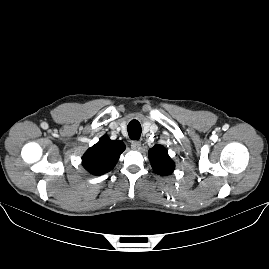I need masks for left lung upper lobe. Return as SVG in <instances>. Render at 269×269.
<instances>
[{"instance_id":"left-lung-upper-lobe-1","label":"left lung upper lobe","mask_w":269,"mask_h":269,"mask_svg":"<svg viewBox=\"0 0 269 269\" xmlns=\"http://www.w3.org/2000/svg\"><path fill=\"white\" fill-rule=\"evenodd\" d=\"M149 159L155 173L169 175L173 172L175 164L162 145H155L149 150Z\"/></svg>"}]
</instances>
